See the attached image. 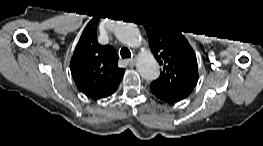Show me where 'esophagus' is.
<instances>
[{
	"mask_svg": "<svg viewBox=\"0 0 263 146\" xmlns=\"http://www.w3.org/2000/svg\"><path fill=\"white\" fill-rule=\"evenodd\" d=\"M128 61H129V64H130L131 66H133V65H135V63H136V58L133 57V58L129 59Z\"/></svg>",
	"mask_w": 263,
	"mask_h": 146,
	"instance_id": "1",
	"label": "esophagus"
}]
</instances>
